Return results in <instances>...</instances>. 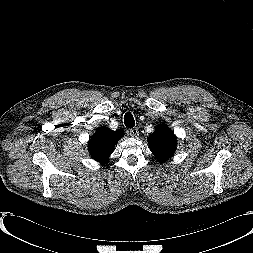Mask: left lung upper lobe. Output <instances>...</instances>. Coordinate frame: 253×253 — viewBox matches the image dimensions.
<instances>
[{"mask_svg": "<svg viewBox=\"0 0 253 253\" xmlns=\"http://www.w3.org/2000/svg\"><path fill=\"white\" fill-rule=\"evenodd\" d=\"M150 150L159 162H165L175 152L177 140L173 132L166 126L160 125L149 137Z\"/></svg>", "mask_w": 253, "mask_h": 253, "instance_id": "obj_1", "label": "left lung upper lobe"}]
</instances>
